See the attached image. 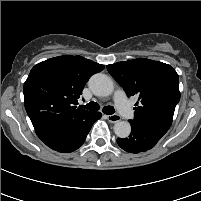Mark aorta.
<instances>
[{
	"mask_svg": "<svg viewBox=\"0 0 201 201\" xmlns=\"http://www.w3.org/2000/svg\"><path fill=\"white\" fill-rule=\"evenodd\" d=\"M89 87L96 96L106 97L114 90L113 80L102 73L93 75L89 80ZM114 132L119 138H126L131 133V125L127 121H118L114 125Z\"/></svg>",
	"mask_w": 201,
	"mask_h": 201,
	"instance_id": "762f6f07",
	"label": "aorta"
}]
</instances>
